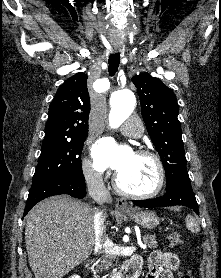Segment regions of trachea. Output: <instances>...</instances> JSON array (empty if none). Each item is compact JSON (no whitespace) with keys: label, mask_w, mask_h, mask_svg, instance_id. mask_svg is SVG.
<instances>
[{"label":"trachea","mask_w":221,"mask_h":278,"mask_svg":"<svg viewBox=\"0 0 221 278\" xmlns=\"http://www.w3.org/2000/svg\"><path fill=\"white\" fill-rule=\"evenodd\" d=\"M119 63H120V53L119 52L113 53L109 56L108 72L111 77H113L116 74L118 67H119Z\"/></svg>","instance_id":"trachea-1"}]
</instances>
